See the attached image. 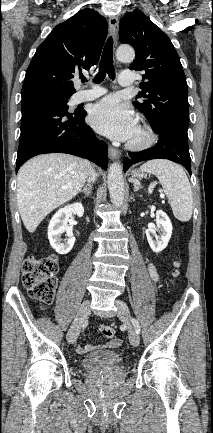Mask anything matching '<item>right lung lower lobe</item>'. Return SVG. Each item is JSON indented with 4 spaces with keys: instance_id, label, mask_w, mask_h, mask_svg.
<instances>
[{
    "instance_id": "obj_1",
    "label": "right lung lower lobe",
    "mask_w": 213,
    "mask_h": 433,
    "mask_svg": "<svg viewBox=\"0 0 213 433\" xmlns=\"http://www.w3.org/2000/svg\"><path fill=\"white\" fill-rule=\"evenodd\" d=\"M21 107L16 172L29 158L52 152L80 156L107 169V145L85 123V111L70 113L55 103L33 97H23Z\"/></svg>"
}]
</instances>
